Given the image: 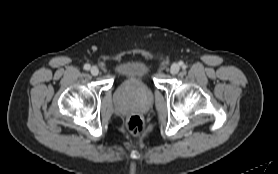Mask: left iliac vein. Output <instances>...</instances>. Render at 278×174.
<instances>
[{
  "label": "left iliac vein",
  "instance_id": "left-iliac-vein-1",
  "mask_svg": "<svg viewBox=\"0 0 278 174\" xmlns=\"http://www.w3.org/2000/svg\"><path fill=\"white\" fill-rule=\"evenodd\" d=\"M179 70H180V67L178 64L174 63L171 65L170 72L172 74H177L179 72Z\"/></svg>",
  "mask_w": 278,
  "mask_h": 174
}]
</instances>
